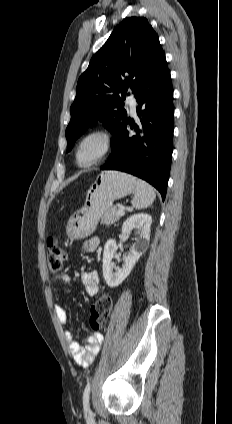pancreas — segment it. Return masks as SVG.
I'll list each match as a JSON object with an SVG mask.
<instances>
[{"instance_id":"1","label":"pancreas","mask_w":232,"mask_h":424,"mask_svg":"<svg viewBox=\"0 0 232 424\" xmlns=\"http://www.w3.org/2000/svg\"><path fill=\"white\" fill-rule=\"evenodd\" d=\"M119 208L116 206H112L108 210H106L102 217H101V223L105 225H111L115 222H117L120 219V215H118Z\"/></svg>"}]
</instances>
